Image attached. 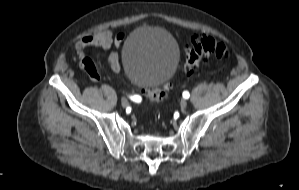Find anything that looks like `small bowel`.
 Instances as JSON below:
<instances>
[{
  "label": "small bowel",
  "instance_id": "1",
  "mask_svg": "<svg viewBox=\"0 0 299 190\" xmlns=\"http://www.w3.org/2000/svg\"><path fill=\"white\" fill-rule=\"evenodd\" d=\"M125 39L124 33H118L113 36L109 30H101L93 35L83 37L76 45L78 49L83 48H101L104 51H110L106 57L107 64L115 72L121 71V63L117 53L112 48H118ZM92 80H99V75L96 72L90 76Z\"/></svg>",
  "mask_w": 299,
  "mask_h": 190
}]
</instances>
